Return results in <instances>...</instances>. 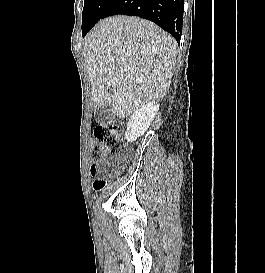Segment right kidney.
Here are the masks:
<instances>
[{
	"instance_id": "1",
	"label": "right kidney",
	"mask_w": 265,
	"mask_h": 273,
	"mask_svg": "<svg viewBox=\"0 0 265 273\" xmlns=\"http://www.w3.org/2000/svg\"><path fill=\"white\" fill-rule=\"evenodd\" d=\"M159 110V104L154 100L141 105L130 117L125 132L127 142L132 143L149 128Z\"/></svg>"
}]
</instances>
